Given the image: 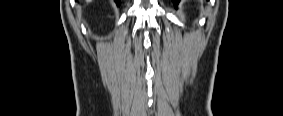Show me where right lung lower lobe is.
I'll return each mask as SVG.
<instances>
[{
	"mask_svg": "<svg viewBox=\"0 0 283 116\" xmlns=\"http://www.w3.org/2000/svg\"><path fill=\"white\" fill-rule=\"evenodd\" d=\"M116 2L117 5L120 4V0H114Z\"/></svg>",
	"mask_w": 283,
	"mask_h": 116,
	"instance_id": "1",
	"label": "right lung lower lobe"
}]
</instances>
